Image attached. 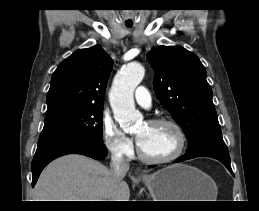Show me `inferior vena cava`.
<instances>
[{
	"instance_id": "inferior-vena-cava-1",
	"label": "inferior vena cava",
	"mask_w": 259,
	"mask_h": 211,
	"mask_svg": "<svg viewBox=\"0 0 259 211\" xmlns=\"http://www.w3.org/2000/svg\"><path fill=\"white\" fill-rule=\"evenodd\" d=\"M129 170V162L121 152H112L111 173L115 182H121Z\"/></svg>"
}]
</instances>
